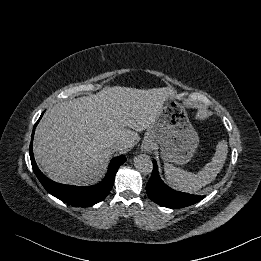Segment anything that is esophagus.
<instances>
[{"instance_id": "34e87169", "label": "esophagus", "mask_w": 261, "mask_h": 261, "mask_svg": "<svg viewBox=\"0 0 261 261\" xmlns=\"http://www.w3.org/2000/svg\"><path fill=\"white\" fill-rule=\"evenodd\" d=\"M142 149L145 151V152H150V149H151V145L149 143H146L142 146Z\"/></svg>"}]
</instances>
